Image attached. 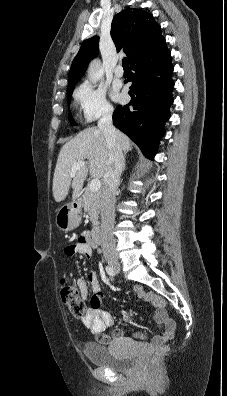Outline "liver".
I'll use <instances>...</instances> for the list:
<instances>
[{
    "label": "liver",
    "mask_w": 227,
    "mask_h": 396,
    "mask_svg": "<svg viewBox=\"0 0 227 396\" xmlns=\"http://www.w3.org/2000/svg\"><path fill=\"white\" fill-rule=\"evenodd\" d=\"M117 136L122 151L131 150L130 139L120 131H117ZM109 155L110 149L105 136L96 127L83 130L65 143L59 152L53 177L52 190L55 201H63L68 195L70 186L73 188L72 199L75 200L82 189L88 171L94 178L103 177L109 164ZM85 159L89 162V169L86 166L81 167L72 177L70 174L73 165Z\"/></svg>",
    "instance_id": "obj_1"
}]
</instances>
